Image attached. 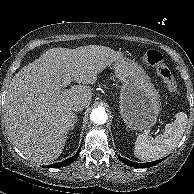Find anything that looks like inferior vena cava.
Wrapping results in <instances>:
<instances>
[{
    "label": "inferior vena cava",
    "mask_w": 194,
    "mask_h": 194,
    "mask_svg": "<svg viewBox=\"0 0 194 194\" xmlns=\"http://www.w3.org/2000/svg\"><path fill=\"white\" fill-rule=\"evenodd\" d=\"M85 108V104L82 102H77L73 105V111L80 112Z\"/></svg>",
    "instance_id": "1"
}]
</instances>
